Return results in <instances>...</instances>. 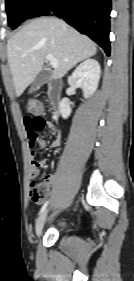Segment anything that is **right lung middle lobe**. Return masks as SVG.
I'll list each match as a JSON object with an SVG mask.
<instances>
[{"label": "right lung middle lobe", "instance_id": "1", "mask_svg": "<svg viewBox=\"0 0 134 281\" xmlns=\"http://www.w3.org/2000/svg\"><path fill=\"white\" fill-rule=\"evenodd\" d=\"M9 25L15 29L21 22L30 18L38 2L33 0H5Z\"/></svg>", "mask_w": 134, "mask_h": 281}]
</instances>
